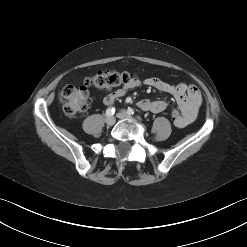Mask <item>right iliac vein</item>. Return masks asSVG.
Returning <instances> with one entry per match:
<instances>
[{"label":"right iliac vein","mask_w":247,"mask_h":247,"mask_svg":"<svg viewBox=\"0 0 247 247\" xmlns=\"http://www.w3.org/2000/svg\"><path fill=\"white\" fill-rule=\"evenodd\" d=\"M105 122L108 126H113L116 122V119L113 116H109L106 118Z\"/></svg>","instance_id":"63e3f726"}]
</instances>
